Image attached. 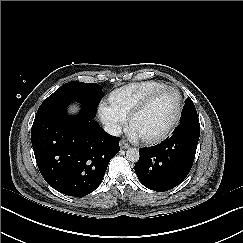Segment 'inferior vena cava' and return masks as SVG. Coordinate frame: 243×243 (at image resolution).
I'll return each instance as SVG.
<instances>
[{"label": "inferior vena cava", "instance_id": "inferior-vena-cava-1", "mask_svg": "<svg viewBox=\"0 0 243 243\" xmlns=\"http://www.w3.org/2000/svg\"><path fill=\"white\" fill-rule=\"evenodd\" d=\"M104 131L112 136H119L121 133V127L117 124H107L104 126Z\"/></svg>", "mask_w": 243, "mask_h": 243}]
</instances>
